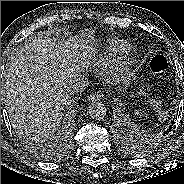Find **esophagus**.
I'll return each mask as SVG.
<instances>
[{"instance_id": "34e87169", "label": "esophagus", "mask_w": 184, "mask_h": 184, "mask_svg": "<svg viewBox=\"0 0 184 184\" xmlns=\"http://www.w3.org/2000/svg\"><path fill=\"white\" fill-rule=\"evenodd\" d=\"M101 99V94L100 93H93L88 97L89 101H98Z\"/></svg>"}]
</instances>
